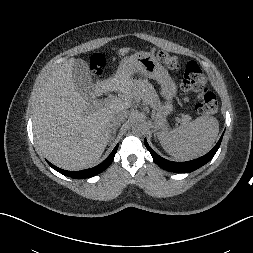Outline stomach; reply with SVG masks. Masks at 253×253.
Listing matches in <instances>:
<instances>
[{
    "label": "stomach",
    "instance_id": "stomach-1",
    "mask_svg": "<svg viewBox=\"0 0 253 253\" xmlns=\"http://www.w3.org/2000/svg\"><path fill=\"white\" fill-rule=\"evenodd\" d=\"M121 62L130 65L134 73L139 72L147 78L156 80L161 85V93L167 101L165 105L154 111L153 115L156 128L163 129L167 123L166 117L173 109L172 98L176 94V85L168 71L157 61L153 54L147 52H136L133 55L124 57Z\"/></svg>",
    "mask_w": 253,
    "mask_h": 253
}]
</instances>
